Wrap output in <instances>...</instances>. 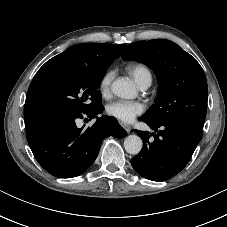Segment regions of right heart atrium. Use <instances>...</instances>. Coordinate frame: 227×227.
<instances>
[{"mask_svg":"<svg viewBox=\"0 0 227 227\" xmlns=\"http://www.w3.org/2000/svg\"><path fill=\"white\" fill-rule=\"evenodd\" d=\"M114 75V71L109 70L105 72L101 77L99 81V91L102 96H106L109 94Z\"/></svg>","mask_w":227,"mask_h":227,"instance_id":"obj_1","label":"right heart atrium"}]
</instances>
